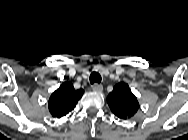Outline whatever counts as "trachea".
Listing matches in <instances>:
<instances>
[{"mask_svg":"<svg viewBox=\"0 0 188 140\" xmlns=\"http://www.w3.org/2000/svg\"><path fill=\"white\" fill-rule=\"evenodd\" d=\"M102 80L100 74L98 72H92L91 75H90V83L91 84H94V83H100Z\"/></svg>","mask_w":188,"mask_h":140,"instance_id":"obj_1","label":"trachea"}]
</instances>
